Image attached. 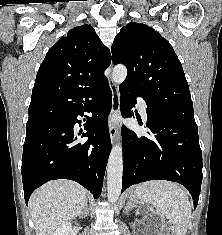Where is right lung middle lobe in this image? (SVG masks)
Returning <instances> with one entry per match:
<instances>
[{"label": "right lung middle lobe", "instance_id": "1", "mask_svg": "<svg viewBox=\"0 0 222 235\" xmlns=\"http://www.w3.org/2000/svg\"><path fill=\"white\" fill-rule=\"evenodd\" d=\"M51 120H42V121H31L26 124V133L31 132L39 127L51 123Z\"/></svg>", "mask_w": 222, "mask_h": 235}]
</instances>
